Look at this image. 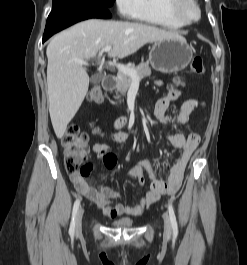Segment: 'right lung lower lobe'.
Wrapping results in <instances>:
<instances>
[{
	"mask_svg": "<svg viewBox=\"0 0 247 265\" xmlns=\"http://www.w3.org/2000/svg\"><path fill=\"white\" fill-rule=\"evenodd\" d=\"M90 18H111V14L107 8L99 6H71L52 10L47 19L43 42L53 34Z\"/></svg>",
	"mask_w": 247,
	"mask_h": 265,
	"instance_id": "right-lung-lower-lobe-1",
	"label": "right lung lower lobe"
}]
</instances>
